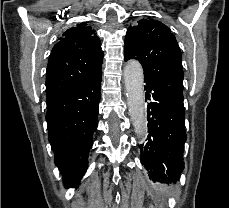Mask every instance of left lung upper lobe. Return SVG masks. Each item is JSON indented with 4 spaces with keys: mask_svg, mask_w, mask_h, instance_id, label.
Returning a JSON list of instances; mask_svg holds the SVG:
<instances>
[{
    "mask_svg": "<svg viewBox=\"0 0 229 208\" xmlns=\"http://www.w3.org/2000/svg\"><path fill=\"white\" fill-rule=\"evenodd\" d=\"M125 61L137 59L144 70V82L183 103L182 56L175 36L160 21L141 19L127 30Z\"/></svg>",
    "mask_w": 229,
    "mask_h": 208,
    "instance_id": "1",
    "label": "left lung upper lobe"
}]
</instances>
